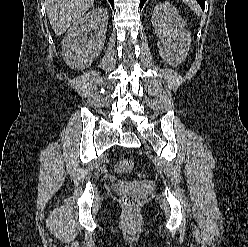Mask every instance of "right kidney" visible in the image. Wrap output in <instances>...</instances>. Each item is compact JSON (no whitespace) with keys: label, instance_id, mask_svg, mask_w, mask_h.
Returning a JSON list of instances; mask_svg holds the SVG:
<instances>
[{"label":"right kidney","instance_id":"1","mask_svg":"<svg viewBox=\"0 0 248 247\" xmlns=\"http://www.w3.org/2000/svg\"><path fill=\"white\" fill-rule=\"evenodd\" d=\"M108 12L96 8L81 16L62 41L64 60L72 69H84L100 54L104 46Z\"/></svg>","mask_w":248,"mask_h":247}]
</instances>
